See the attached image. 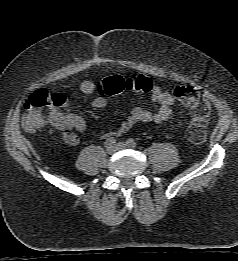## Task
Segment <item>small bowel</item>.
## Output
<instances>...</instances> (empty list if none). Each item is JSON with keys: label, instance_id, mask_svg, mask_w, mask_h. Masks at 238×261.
<instances>
[{"label": "small bowel", "instance_id": "small-bowel-1", "mask_svg": "<svg viewBox=\"0 0 238 261\" xmlns=\"http://www.w3.org/2000/svg\"><path fill=\"white\" fill-rule=\"evenodd\" d=\"M96 91H98V86L91 80H85L80 84V92L84 95H92ZM150 100L153 105H157L156 109L132 107L128 116L120 123L118 130L114 134L119 136L140 122L162 123L172 117L174 97L170 92L164 91L153 84L150 90ZM107 104V96L99 92L91 102V105L97 109H102ZM48 122L60 132L63 141L70 146L78 144L77 133H82L86 129V122L83 117L75 114H64L57 109L50 111Z\"/></svg>", "mask_w": 238, "mask_h": 261}]
</instances>
